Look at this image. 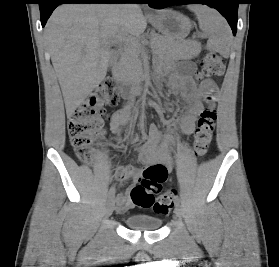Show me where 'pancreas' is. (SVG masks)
<instances>
[{"label":"pancreas","mask_w":279,"mask_h":267,"mask_svg":"<svg viewBox=\"0 0 279 267\" xmlns=\"http://www.w3.org/2000/svg\"><path fill=\"white\" fill-rule=\"evenodd\" d=\"M151 46L156 54L165 59H188L197 55L200 50L199 43L195 41L177 42L158 34H152ZM143 46L139 41H130L123 48L119 70L126 80L136 81L143 75L140 54Z\"/></svg>","instance_id":"cf45deb5"}]
</instances>
